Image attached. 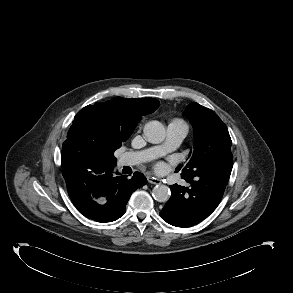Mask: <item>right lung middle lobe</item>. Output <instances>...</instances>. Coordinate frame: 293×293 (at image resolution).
Here are the masks:
<instances>
[{"label":"right lung middle lobe","mask_w":293,"mask_h":293,"mask_svg":"<svg viewBox=\"0 0 293 293\" xmlns=\"http://www.w3.org/2000/svg\"><path fill=\"white\" fill-rule=\"evenodd\" d=\"M120 146L121 144L115 142H112V144L105 143L101 145L98 149L92 151L90 153V157L92 161L105 160L108 158L111 163L116 164L117 159L114 157V152Z\"/></svg>","instance_id":"dd1d6c3e"}]
</instances>
